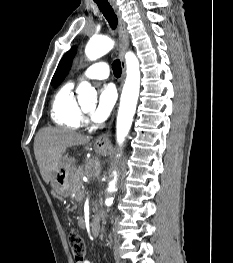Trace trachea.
<instances>
[{"mask_svg": "<svg viewBox=\"0 0 233 263\" xmlns=\"http://www.w3.org/2000/svg\"><path fill=\"white\" fill-rule=\"evenodd\" d=\"M94 1L98 5L99 9L101 10L105 18L107 19L110 27L112 29H115L117 27L118 19L109 2L107 0H94ZM112 69L116 77L121 76L122 68H121L120 60H115L113 62Z\"/></svg>", "mask_w": 233, "mask_h": 263, "instance_id": "obj_1", "label": "trachea"}]
</instances>
